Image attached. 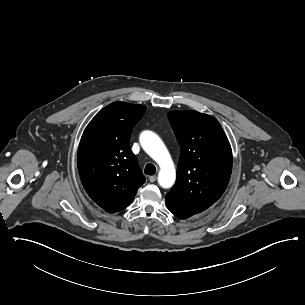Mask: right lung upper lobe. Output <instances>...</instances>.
I'll return each instance as SVG.
<instances>
[{
  "instance_id": "1",
  "label": "right lung upper lobe",
  "mask_w": 305,
  "mask_h": 305,
  "mask_svg": "<svg viewBox=\"0 0 305 305\" xmlns=\"http://www.w3.org/2000/svg\"><path fill=\"white\" fill-rule=\"evenodd\" d=\"M146 107L114 102L83 132L77 156L81 182L91 199L108 212L125 209L145 178L129 146L132 128Z\"/></svg>"
}]
</instances>
